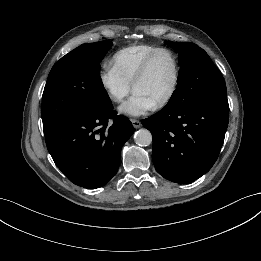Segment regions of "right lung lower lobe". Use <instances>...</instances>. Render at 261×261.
Wrapping results in <instances>:
<instances>
[{
	"instance_id": "obj_1",
	"label": "right lung lower lobe",
	"mask_w": 261,
	"mask_h": 261,
	"mask_svg": "<svg viewBox=\"0 0 261 261\" xmlns=\"http://www.w3.org/2000/svg\"><path fill=\"white\" fill-rule=\"evenodd\" d=\"M109 119L113 124L108 127ZM133 134L131 122L110 104L99 114L68 121L45 134L57 167L74 184L95 189L117 173L121 149Z\"/></svg>"
}]
</instances>
